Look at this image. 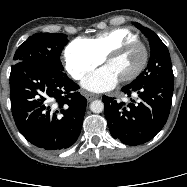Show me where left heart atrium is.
I'll return each mask as SVG.
<instances>
[{"label": "left heart atrium", "instance_id": "left-heart-atrium-1", "mask_svg": "<svg viewBox=\"0 0 187 187\" xmlns=\"http://www.w3.org/2000/svg\"><path fill=\"white\" fill-rule=\"evenodd\" d=\"M119 80L114 71L105 65L89 74L82 81V86L92 92H104L112 89Z\"/></svg>", "mask_w": 187, "mask_h": 187}]
</instances>
